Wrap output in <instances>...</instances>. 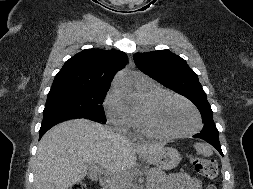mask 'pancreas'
Wrapping results in <instances>:
<instances>
[{
  "mask_svg": "<svg viewBox=\"0 0 253 189\" xmlns=\"http://www.w3.org/2000/svg\"><path fill=\"white\" fill-rule=\"evenodd\" d=\"M166 177V174L161 169L153 168L149 172V180L154 186L164 183L166 181Z\"/></svg>",
  "mask_w": 253,
  "mask_h": 189,
  "instance_id": "cf45deb5",
  "label": "pancreas"
}]
</instances>
